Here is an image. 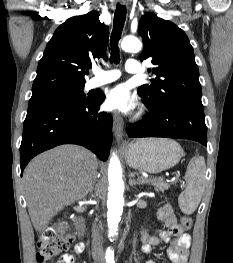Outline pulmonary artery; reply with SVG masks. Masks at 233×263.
<instances>
[{"label":"pulmonary artery","mask_w":233,"mask_h":263,"mask_svg":"<svg viewBox=\"0 0 233 263\" xmlns=\"http://www.w3.org/2000/svg\"><path fill=\"white\" fill-rule=\"evenodd\" d=\"M125 69L130 74H138L140 73V65L139 62L135 59H128L126 62ZM95 76L90 79L87 83V88L93 89L108 83H111L117 80L121 73L119 70L110 69V70H100L96 69L94 71Z\"/></svg>","instance_id":"1"}]
</instances>
